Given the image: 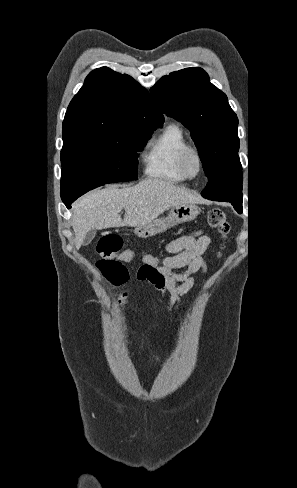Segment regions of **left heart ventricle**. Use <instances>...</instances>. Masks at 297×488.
I'll list each match as a JSON object with an SVG mask.
<instances>
[{
  "label": "left heart ventricle",
  "mask_w": 297,
  "mask_h": 488,
  "mask_svg": "<svg viewBox=\"0 0 297 488\" xmlns=\"http://www.w3.org/2000/svg\"><path fill=\"white\" fill-rule=\"evenodd\" d=\"M188 167H189V170L192 174L197 172L198 161H197L196 157H194V156L190 157V159L188 161Z\"/></svg>",
  "instance_id": "1"
}]
</instances>
